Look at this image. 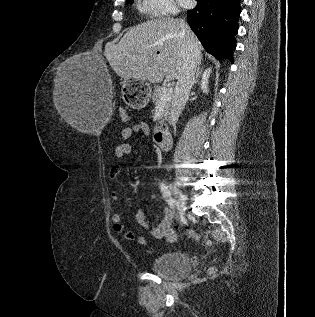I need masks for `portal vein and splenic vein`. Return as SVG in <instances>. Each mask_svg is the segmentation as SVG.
Returning a JSON list of instances; mask_svg holds the SVG:
<instances>
[{
	"mask_svg": "<svg viewBox=\"0 0 315 317\" xmlns=\"http://www.w3.org/2000/svg\"><path fill=\"white\" fill-rule=\"evenodd\" d=\"M172 93H173L172 88H167L166 90H164L162 93L161 102H165L167 100H170L172 97Z\"/></svg>",
	"mask_w": 315,
	"mask_h": 317,
	"instance_id": "obj_1",
	"label": "portal vein and splenic vein"
}]
</instances>
